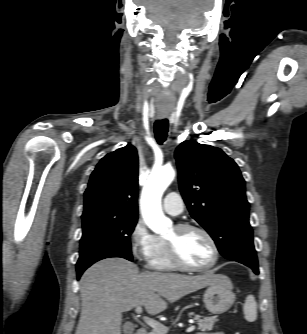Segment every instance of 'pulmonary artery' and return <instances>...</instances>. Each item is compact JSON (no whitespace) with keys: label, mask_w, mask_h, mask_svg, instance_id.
Here are the masks:
<instances>
[{"label":"pulmonary artery","mask_w":307,"mask_h":334,"mask_svg":"<svg viewBox=\"0 0 307 334\" xmlns=\"http://www.w3.org/2000/svg\"><path fill=\"white\" fill-rule=\"evenodd\" d=\"M184 208L182 197L177 192L168 193L163 200V209L164 211L171 215H179Z\"/></svg>","instance_id":"e3ab8cb5"}]
</instances>
